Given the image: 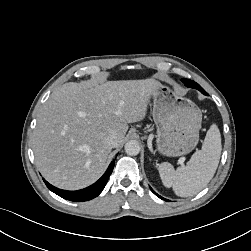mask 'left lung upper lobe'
<instances>
[{
    "label": "left lung upper lobe",
    "mask_w": 251,
    "mask_h": 251,
    "mask_svg": "<svg viewBox=\"0 0 251 251\" xmlns=\"http://www.w3.org/2000/svg\"><path fill=\"white\" fill-rule=\"evenodd\" d=\"M181 81L185 84V86L190 87V88H195L199 90L200 92H202L204 95H208L198 83L189 79H181Z\"/></svg>",
    "instance_id": "obj_1"
}]
</instances>
